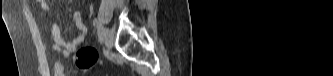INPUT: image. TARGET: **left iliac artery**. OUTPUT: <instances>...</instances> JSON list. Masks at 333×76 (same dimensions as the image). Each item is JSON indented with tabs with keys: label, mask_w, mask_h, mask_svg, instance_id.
<instances>
[{
	"label": "left iliac artery",
	"mask_w": 333,
	"mask_h": 76,
	"mask_svg": "<svg viewBox=\"0 0 333 76\" xmlns=\"http://www.w3.org/2000/svg\"><path fill=\"white\" fill-rule=\"evenodd\" d=\"M93 23H94V25L97 27L99 35H101V34H102V31H101L100 24H99L98 20L95 19V20L93 21ZM99 39H100V41L102 40L101 37H99Z\"/></svg>",
	"instance_id": "1"
}]
</instances>
